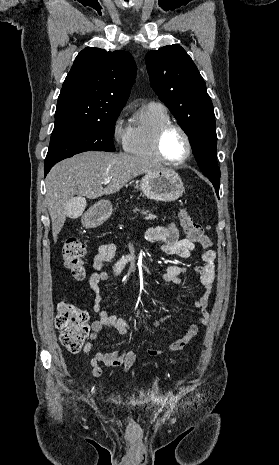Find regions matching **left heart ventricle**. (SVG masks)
I'll return each mask as SVG.
<instances>
[{"mask_svg":"<svg viewBox=\"0 0 279 465\" xmlns=\"http://www.w3.org/2000/svg\"><path fill=\"white\" fill-rule=\"evenodd\" d=\"M163 152L170 160H180L187 152L183 135L176 129L168 131L163 139Z\"/></svg>","mask_w":279,"mask_h":465,"instance_id":"1","label":"left heart ventricle"}]
</instances>
